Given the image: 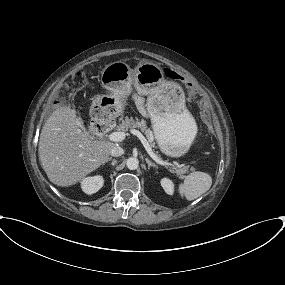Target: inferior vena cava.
I'll return each mask as SVG.
<instances>
[{
	"label": "inferior vena cava",
	"instance_id": "1",
	"mask_svg": "<svg viewBox=\"0 0 285 285\" xmlns=\"http://www.w3.org/2000/svg\"><path fill=\"white\" fill-rule=\"evenodd\" d=\"M110 154L113 157H118V156H121L122 154H124V150L120 146H115L111 149Z\"/></svg>",
	"mask_w": 285,
	"mask_h": 285
}]
</instances>
